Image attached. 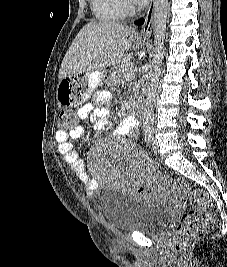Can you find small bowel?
Segmentation results:
<instances>
[{
    "instance_id": "c3829d8e",
    "label": "small bowel",
    "mask_w": 227,
    "mask_h": 267,
    "mask_svg": "<svg viewBox=\"0 0 227 267\" xmlns=\"http://www.w3.org/2000/svg\"><path fill=\"white\" fill-rule=\"evenodd\" d=\"M105 102L104 93H98L97 104L98 108L92 105L80 107L76 112V123L71 126L70 130H57L56 142L58 143L59 152L64 157L65 162L71 167L75 177L83 184L85 192L88 196H93L98 188V182L87 172L84 162L79 158L76 151L73 150L71 140L79 139L85 132L84 122L92 118L98 129H106L105 122L106 110L102 106ZM139 126V119L135 116H128L123 119L120 126L117 128L118 135L133 134ZM143 194L149 193L148 188L142 189Z\"/></svg>"
}]
</instances>
